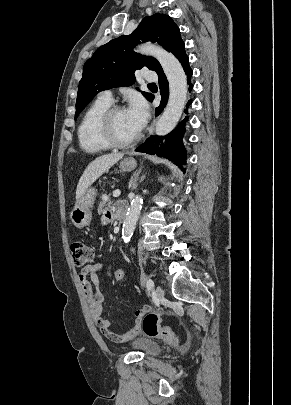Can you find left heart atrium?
<instances>
[{
	"mask_svg": "<svg viewBox=\"0 0 291 405\" xmlns=\"http://www.w3.org/2000/svg\"><path fill=\"white\" fill-rule=\"evenodd\" d=\"M128 117L137 132L145 126L148 118V106L141 98H135L126 110Z\"/></svg>",
	"mask_w": 291,
	"mask_h": 405,
	"instance_id": "1",
	"label": "left heart atrium"
}]
</instances>
